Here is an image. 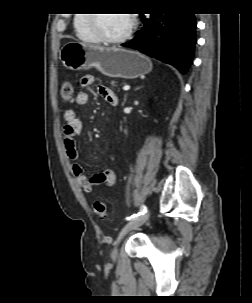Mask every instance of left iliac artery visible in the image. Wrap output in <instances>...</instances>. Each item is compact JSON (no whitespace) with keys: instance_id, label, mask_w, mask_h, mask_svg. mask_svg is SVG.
Here are the masks:
<instances>
[{"instance_id":"obj_1","label":"left iliac artery","mask_w":252,"mask_h":303,"mask_svg":"<svg viewBox=\"0 0 252 303\" xmlns=\"http://www.w3.org/2000/svg\"><path fill=\"white\" fill-rule=\"evenodd\" d=\"M146 212H147V207L144 204H142L139 213L138 214H133L132 216L127 217L126 220H132V219H134V218H136V217H138V216H140V215H142Z\"/></svg>"}]
</instances>
